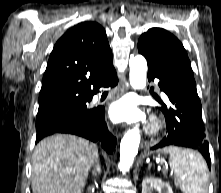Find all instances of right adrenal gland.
Segmentation results:
<instances>
[{
	"instance_id": "right-adrenal-gland-1",
	"label": "right adrenal gland",
	"mask_w": 221,
	"mask_h": 193,
	"mask_svg": "<svg viewBox=\"0 0 221 193\" xmlns=\"http://www.w3.org/2000/svg\"><path fill=\"white\" fill-rule=\"evenodd\" d=\"M94 170H93V175L97 176L101 174V165L99 160H97L93 166Z\"/></svg>"
}]
</instances>
